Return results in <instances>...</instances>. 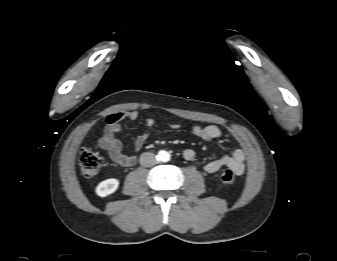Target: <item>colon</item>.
<instances>
[{"mask_svg": "<svg viewBox=\"0 0 337 261\" xmlns=\"http://www.w3.org/2000/svg\"><path fill=\"white\" fill-rule=\"evenodd\" d=\"M81 173L85 177L95 176L103 165V157L99 147L83 148L78 156ZM220 179L223 183L231 185L235 181V175L231 169L222 171Z\"/></svg>", "mask_w": 337, "mask_h": 261, "instance_id": "colon-1", "label": "colon"}]
</instances>
